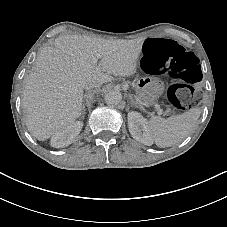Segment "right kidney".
<instances>
[{
    "label": "right kidney",
    "mask_w": 227,
    "mask_h": 227,
    "mask_svg": "<svg viewBox=\"0 0 227 227\" xmlns=\"http://www.w3.org/2000/svg\"><path fill=\"white\" fill-rule=\"evenodd\" d=\"M83 122L75 121L67 127L60 129L51 137L50 145L54 148H63L70 145L82 130Z\"/></svg>",
    "instance_id": "obj_1"
}]
</instances>
